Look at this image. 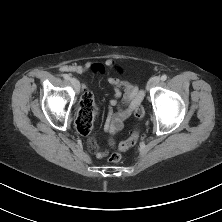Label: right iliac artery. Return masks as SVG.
Returning <instances> with one entry per match:
<instances>
[{
  "instance_id": "obj_1",
  "label": "right iliac artery",
  "mask_w": 222,
  "mask_h": 222,
  "mask_svg": "<svg viewBox=\"0 0 222 222\" xmlns=\"http://www.w3.org/2000/svg\"><path fill=\"white\" fill-rule=\"evenodd\" d=\"M63 77H64V79H66V80H70V76H69L68 74H64Z\"/></svg>"
}]
</instances>
